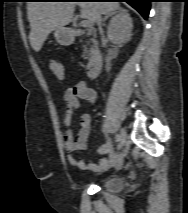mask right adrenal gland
Returning <instances> with one entry per match:
<instances>
[{"label":"right adrenal gland","mask_w":188,"mask_h":213,"mask_svg":"<svg viewBox=\"0 0 188 213\" xmlns=\"http://www.w3.org/2000/svg\"><path fill=\"white\" fill-rule=\"evenodd\" d=\"M119 11H123V9H120ZM114 14H115V12L106 14L105 17H104L103 20H102V24L104 25L105 21H106L109 17L113 16Z\"/></svg>","instance_id":"2a0ac1e0"}]
</instances>
